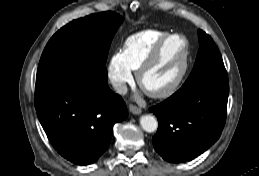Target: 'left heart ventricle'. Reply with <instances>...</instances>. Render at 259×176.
<instances>
[{"label":"left heart ventricle","mask_w":259,"mask_h":176,"mask_svg":"<svg viewBox=\"0 0 259 176\" xmlns=\"http://www.w3.org/2000/svg\"><path fill=\"white\" fill-rule=\"evenodd\" d=\"M183 53L184 42L180 38L170 39L160 57L144 74V88L153 91L170 84L180 71Z\"/></svg>","instance_id":"1"}]
</instances>
